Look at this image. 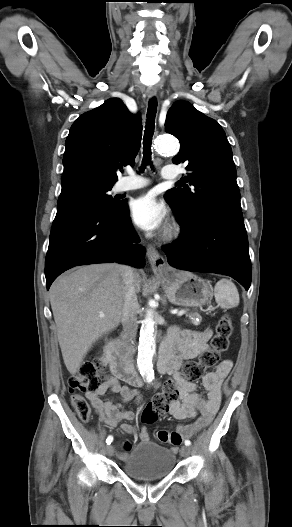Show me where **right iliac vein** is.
Listing matches in <instances>:
<instances>
[{
	"mask_svg": "<svg viewBox=\"0 0 292 527\" xmlns=\"http://www.w3.org/2000/svg\"><path fill=\"white\" fill-rule=\"evenodd\" d=\"M113 453H114L113 446H112V445H108V446L106 447V454H107L108 456H112Z\"/></svg>",
	"mask_w": 292,
	"mask_h": 527,
	"instance_id": "right-iliac-vein-1",
	"label": "right iliac vein"
}]
</instances>
